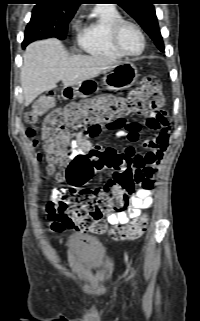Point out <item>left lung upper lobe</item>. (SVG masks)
I'll list each match as a JSON object with an SVG mask.
<instances>
[{"label": "left lung upper lobe", "instance_id": "obj_1", "mask_svg": "<svg viewBox=\"0 0 200 321\" xmlns=\"http://www.w3.org/2000/svg\"><path fill=\"white\" fill-rule=\"evenodd\" d=\"M144 31L152 38L156 46L163 51V39L157 22L154 0H115Z\"/></svg>", "mask_w": 200, "mask_h": 321}]
</instances>
